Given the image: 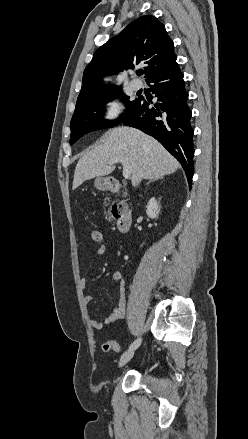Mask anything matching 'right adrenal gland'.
I'll use <instances>...</instances> for the list:
<instances>
[{
	"label": "right adrenal gland",
	"instance_id": "right-adrenal-gland-1",
	"mask_svg": "<svg viewBox=\"0 0 248 439\" xmlns=\"http://www.w3.org/2000/svg\"><path fill=\"white\" fill-rule=\"evenodd\" d=\"M158 179H159V178H156V179H154V180L149 181V182L147 183V185H148L149 183L153 182V181L158 180ZM160 179H163V178H160Z\"/></svg>",
	"mask_w": 248,
	"mask_h": 439
}]
</instances>
